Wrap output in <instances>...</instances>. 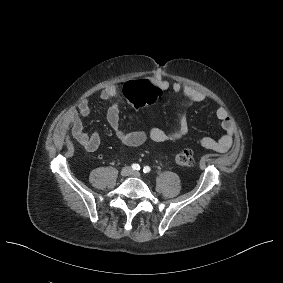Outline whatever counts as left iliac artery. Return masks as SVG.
Returning <instances> with one entry per match:
<instances>
[{"label": "left iliac artery", "instance_id": "obj_1", "mask_svg": "<svg viewBox=\"0 0 283 283\" xmlns=\"http://www.w3.org/2000/svg\"><path fill=\"white\" fill-rule=\"evenodd\" d=\"M150 167L149 166H145L144 168H143V172L144 173H149L150 172Z\"/></svg>", "mask_w": 283, "mask_h": 283}]
</instances>
